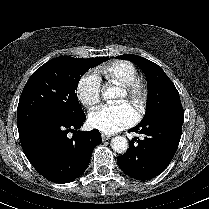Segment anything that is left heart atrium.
<instances>
[{"label": "left heart atrium", "mask_w": 209, "mask_h": 209, "mask_svg": "<svg viewBox=\"0 0 209 209\" xmlns=\"http://www.w3.org/2000/svg\"><path fill=\"white\" fill-rule=\"evenodd\" d=\"M137 120L135 109L127 102L118 105H104L89 115L92 128L112 134L131 126Z\"/></svg>", "instance_id": "39dd6f15"}]
</instances>
